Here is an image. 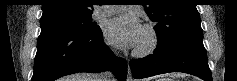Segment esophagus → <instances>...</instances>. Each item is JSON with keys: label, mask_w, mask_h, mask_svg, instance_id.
I'll return each instance as SVG.
<instances>
[{"label": "esophagus", "mask_w": 237, "mask_h": 81, "mask_svg": "<svg viewBox=\"0 0 237 81\" xmlns=\"http://www.w3.org/2000/svg\"><path fill=\"white\" fill-rule=\"evenodd\" d=\"M127 81H133V77H132V74H131V71L128 67V70H127Z\"/></svg>", "instance_id": "34e87169"}]
</instances>
